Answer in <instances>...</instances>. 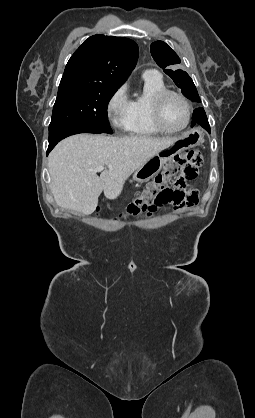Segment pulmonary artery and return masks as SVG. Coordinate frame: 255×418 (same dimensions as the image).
I'll use <instances>...</instances> for the list:
<instances>
[{
	"label": "pulmonary artery",
	"mask_w": 255,
	"mask_h": 418,
	"mask_svg": "<svg viewBox=\"0 0 255 418\" xmlns=\"http://www.w3.org/2000/svg\"><path fill=\"white\" fill-rule=\"evenodd\" d=\"M160 73L155 69H148L144 71L143 78H160Z\"/></svg>",
	"instance_id": "1"
}]
</instances>
